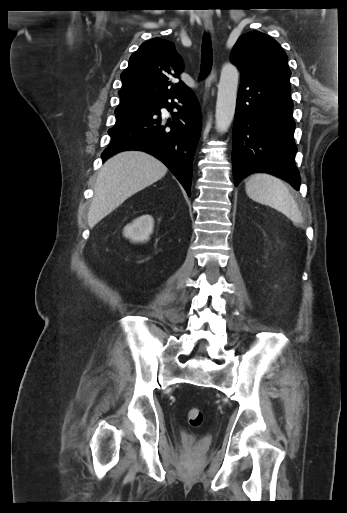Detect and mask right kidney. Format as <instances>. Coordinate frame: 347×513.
Masks as SVG:
<instances>
[{
  "label": "right kidney",
  "instance_id": "right-kidney-1",
  "mask_svg": "<svg viewBox=\"0 0 347 513\" xmlns=\"http://www.w3.org/2000/svg\"><path fill=\"white\" fill-rule=\"evenodd\" d=\"M154 219L151 215H142L123 229L124 237L132 242H145L149 240L153 232Z\"/></svg>",
  "mask_w": 347,
  "mask_h": 513
}]
</instances>
